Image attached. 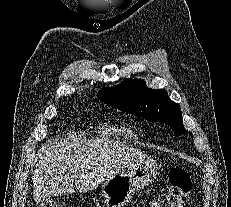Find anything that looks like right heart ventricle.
<instances>
[{
	"instance_id": "obj_1",
	"label": "right heart ventricle",
	"mask_w": 231,
	"mask_h": 207,
	"mask_svg": "<svg viewBox=\"0 0 231 207\" xmlns=\"http://www.w3.org/2000/svg\"><path fill=\"white\" fill-rule=\"evenodd\" d=\"M103 134L109 136H118L123 134H130V130L124 125L118 123H110L100 128Z\"/></svg>"
}]
</instances>
